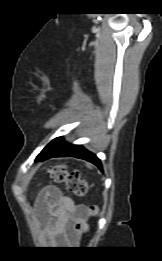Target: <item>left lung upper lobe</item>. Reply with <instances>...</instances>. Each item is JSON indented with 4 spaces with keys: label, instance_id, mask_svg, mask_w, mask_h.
<instances>
[{
    "label": "left lung upper lobe",
    "instance_id": "obj_1",
    "mask_svg": "<svg viewBox=\"0 0 162 261\" xmlns=\"http://www.w3.org/2000/svg\"><path fill=\"white\" fill-rule=\"evenodd\" d=\"M62 140V137L53 139L38 155L37 160H40L51 148H53L57 143Z\"/></svg>",
    "mask_w": 162,
    "mask_h": 261
}]
</instances>
